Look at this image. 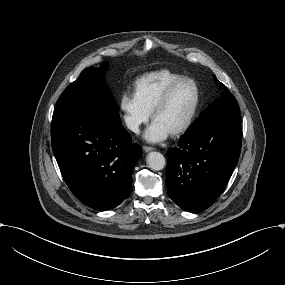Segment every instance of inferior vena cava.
<instances>
[{
    "label": "inferior vena cava",
    "instance_id": "1",
    "mask_svg": "<svg viewBox=\"0 0 285 285\" xmlns=\"http://www.w3.org/2000/svg\"><path fill=\"white\" fill-rule=\"evenodd\" d=\"M124 118L126 125L130 130L136 132L139 129V123L134 117L126 115Z\"/></svg>",
    "mask_w": 285,
    "mask_h": 285
}]
</instances>
